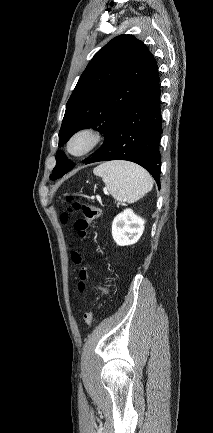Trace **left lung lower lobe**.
<instances>
[{"instance_id":"left-lung-lower-lobe-1","label":"left lung lower lobe","mask_w":213,"mask_h":433,"mask_svg":"<svg viewBox=\"0 0 213 433\" xmlns=\"http://www.w3.org/2000/svg\"><path fill=\"white\" fill-rule=\"evenodd\" d=\"M162 134L158 66L127 104L102 147L85 163L128 160L150 172L160 188Z\"/></svg>"}]
</instances>
